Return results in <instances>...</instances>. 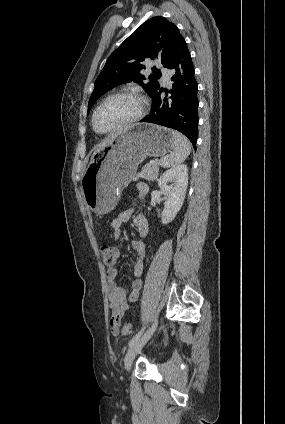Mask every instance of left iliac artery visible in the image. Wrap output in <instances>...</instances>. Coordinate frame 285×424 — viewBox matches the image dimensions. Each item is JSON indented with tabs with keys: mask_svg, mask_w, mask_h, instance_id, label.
<instances>
[{
	"mask_svg": "<svg viewBox=\"0 0 285 424\" xmlns=\"http://www.w3.org/2000/svg\"><path fill=\"white\" fill-rule=\"evenodd\" d=\"M145 330V327H143L129 342V347H131L132 345H134V343L141 337V335L143 334Z\"/></svg>",
	"mask_w": 285,
	"mask_h": 424,
	"instance_id": "obj_1",
	"label": "left iliac artery"
}]
</instances>
